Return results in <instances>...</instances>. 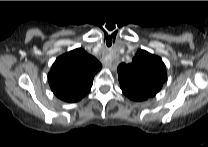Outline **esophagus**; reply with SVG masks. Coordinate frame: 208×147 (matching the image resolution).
I'll list each match as a JSON object with an SVG mask.
<instances>
[{"instance_id":"34e87169","label":"esophagus","mask_w":208,"mask_h":147,"mask_svg":"<svg viewBox=\"0 0 208 147\" xmlns=\"http://www.w3.org/2000/svg\"><path fill=\"white\" fill-rule=\"evenodd\" d=\"M111 60L110 59H107L106 61H105V63H104V65L106 66V67H111Z\"/></svg>"}]
</instances>
